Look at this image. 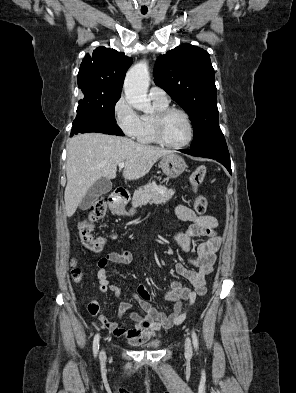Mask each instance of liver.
Wrapping results in <instances>:
<instances>
[{
  "mask_svg": "<svg viewBox=\"0 0 296 393\" xmlns=\"http://www.w3.org/2000/svg\"><path fill=\"white\" fill-rule=\"evenodd\" d=\"M168 154L172 151L139 144L125 137L101 133L72 137L67 145V185L64 193L67 216L75 213L96 181L116 177L120 162H125L123 176L136 180L145 176L159 158Z\"/></svg>",
  "mask_w": 296,
  "mask_h": 393,
  "instance_id": "6515ba94",
  "label": "liver"
}]
</instances>
